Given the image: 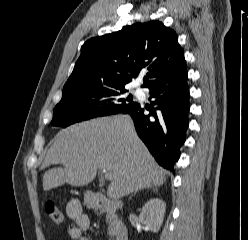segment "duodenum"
<instances>
[{
	"label": "duodenum",
	"instance_id": "410a0bca",
	"mask_svg": "<svg viewBox=\"0 0 248 240\" xmlns=\"http://www.w3.org/2000/svg\"><path fill=\"white\" fill-rule=\"evenodd\" d=\"M122 204L118 200H110L104 198L100 193H93L91 195V208L99 213H108L119 210ZM114 240H129L128 230L123 225H118Z\"/></svg>",
	"mask_w": 248,
	"mask_h": 240
}]
</instances>
